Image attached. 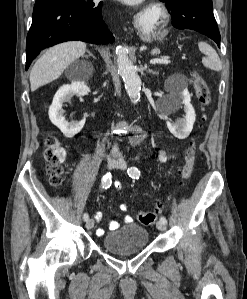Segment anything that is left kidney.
<instances>
[{
  "label": "left kidney",
  "mask_w": 247,
  "mask_h": 299,
  "mask_svg": "<svg viewBox=\"0 0 247 299\" xmlns=\"http://www.w3.org/2000/svg\"><path fill=\"white\" fill-rule=\"evenodd\" d=\"M174 104L167 113L173 112L181 105L184 106L185 117L177 120L175 123L167 121V127L169 131L178 139H185L189 136L193 129L194 122L196 120V114L193 106L191 105V95L187 88H183L173 96Z\"/></svg>",
  "instance_id": "5707ae66"
}]
</instances>
